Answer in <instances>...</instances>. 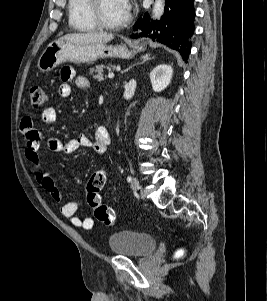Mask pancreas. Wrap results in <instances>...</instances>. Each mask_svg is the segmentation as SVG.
<instances>
[{"instance_id": "1", "label": "pancreas", "mask_w": 267, "mask_h": 301, "mask_svg": "<svg viewBox=\"0 0 267 301\" xmlns=\"http://www.w3.org/2000/svg\"><path fill=\"white\" fill-rule=\"evenodd\" d=\"M115 66L112 65L111 63L107 64V65H98L95 68H91L90 69V73L93 74V77L95 79H97L98 81H102L103 80V76H104V70H111L114 69Z\"/></svg>"}]
</instances>
